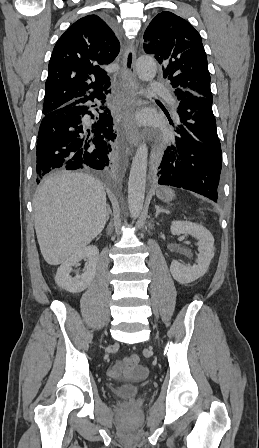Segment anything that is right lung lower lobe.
Listing matches in <instances>:
<instances>
[{"label": "right lung lower lobe", "instance_id": "98d812e1", "mask_svg": "<svg viewBox=\"0 0 259 448\" xmlns=\"http://www.w3.org/2000/svg\"><path fill=\"white\" fill-rule=\"evenodd\" d=\"M109 92L44 114L36 146L37 183L60 167L75 170L86 166L103 170L108 166L111 144L116 138L111 112L104 105ZM95 98L102 101L99 109L103 112L97 115L90 110L97 106L92 105Z\"/></svg>", "mask_w": 259, "mask_h": 448}]
</instances>
